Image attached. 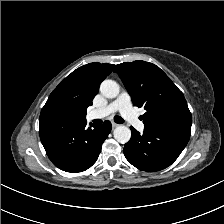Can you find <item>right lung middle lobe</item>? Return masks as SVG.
<instances>
[{"label":"right lung middle lobe","mask_w":224,"mask_h":224,"mask_svg":"<svg viewBox=\"0 0 224 224\" xmlns=\"http://www.w3.org/2000/svg\"><path fill=\"white\" fill-rule=\"evenodd\" d=\"M44 115L76 122L83 120V117L79 114L74 104L67 98L59 95L48 98L40 116Z\"/></svg>","instance_id":"1"}]
</instances>
